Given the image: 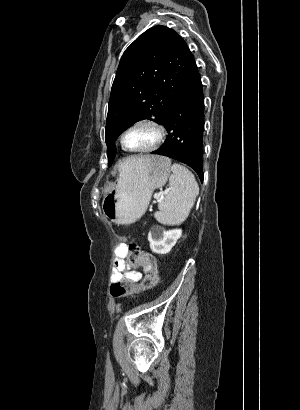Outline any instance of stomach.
Segmentation results:
<instances>
[{
    "instance_id": "obj_1",
    "label": "stomach",
    "mask_w": 300,
    "mask_h": 410,
    "mask_svg": "<svg viewBox=\"0 0 300 410\" xmlns=\"http://www.w3.org/2000/svg\"><path fill=\"white\" fill-rule=\"evenodd\" d=\"M170 171V159L159 155H148L134 167L124 165L116 186L104 195L103 214L116 224L136 222L144 215L153 191L167 182Z\"/></svg>"
}]
</instances>
